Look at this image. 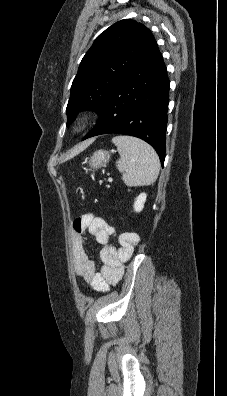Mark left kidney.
Returning a JSON list of instances; mask_svg holds the SVG:
<instances>
[{
  "mask_svg": "<svg viewBox=\"0 0 227 396\" xmlns=\"http://www.w3.org/2000/svg\"><path fill=\"white\" fill-rule=\"evenodd\" d=\"M147 195L145 193H141L134 202V210L136 212H141L144 208V203L146 201Z\"/></svg>",
  "mask_w": 227,
  "mask_h": 396,
  "instance_id": "5707ae66",
  "label": "left kidney"
}]
</instances>
